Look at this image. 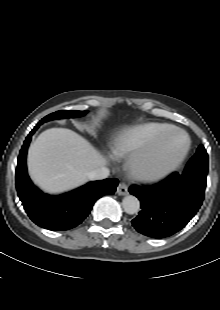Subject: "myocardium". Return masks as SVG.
<instances>
[{
    "label": "myocardium",
    "instance_id": "f54148a6",
    "mask_svg": "<svg viewBox=\"0 0 220 310\" xmlns=\"http://www.w3.org/2000/svg\"><path fill=\"white\" fill-rule=\"evenodd\" d=\"M173 134H179L184 139V143L180 152L175 157V159L171 161L169 164L156 169L152 168V162L156 157V155L158 154L161 146ZM190 145H191L190 138L184 130L176 127H171L170 129L161 133L156 138L154 144L150 148L136 151L130 157L129 159L130 171L135 179L142 182L153 183L161 181L179 168V166L183 163L190 150Z\"/></svg>",
    "mask_w": 220,
    "mask_h": 310
}]
</instances>
